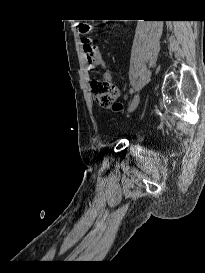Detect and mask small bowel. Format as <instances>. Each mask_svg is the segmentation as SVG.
<instances>
[{
	"instance_id": "1",
	"label": "small bowel",
	"mask_w": 205,
	"mask_h": 273,
	"mask_svg": "<svg viewBox=\"0 0 205 273\" xmlns=\"http://www.w3.org/2000/svg\"><path fill=\"white\" fill-rule=\"evenodd\" d=\"M81 45L86 59L92 69L105 68V61L98 46L89 38H83ZM104 77L108 81H112V75L109 72L104 74Z\"/></svg>"
}]
</instances>
